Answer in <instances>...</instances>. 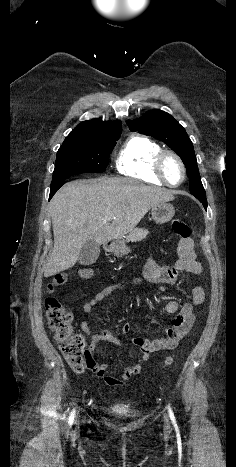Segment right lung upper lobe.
<instances>
[{
  "label": "right lung upper lobe",
  "instance_id": "right-lung-upper-lobe-1",
  "mask_svg": "<svg viewBox=\"0 0 236 467\" xmlns=\"http://www.w3.org/2000/svg\"><path fill=\"white\" fill-rule=\"evenodd\" d=\"M121 131L122 126L119 120L103 122L100 119H93L81 122L70 134H117Z\"/></svg>",
  "mask_w": 236,
  "mask_h": 467
}]
</instances>
